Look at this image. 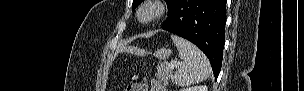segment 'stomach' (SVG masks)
Returning a JSON list of instances; mask_svg holds the SVG:
<instances>
[{
    "mask_svg": "<svg viewBox=\"0 0 304 91\" xmlns=\"http://www.w3.org/2000/svg\"><path fill=\"white\" fill-rule=\"evenodd\" d=\"M154 55L158 58V59H167L170 56V50H168L167 48H160L157 51H155Z\"/></svg>",
    "mask_w": 304,
    "mask_h": 91,
    "instance_id": "obj_1",
    "label": "stomach"
}]
</instances>
